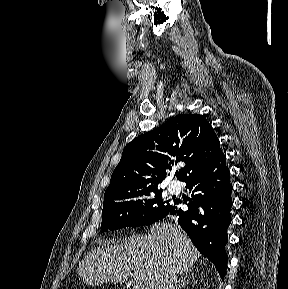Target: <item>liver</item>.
I'll use <instances>...</instances> for the list:
<instances>
[{
  "label": "liver",
  "mask_w": 288,
  "mask_h": 289,
  "mask_svg": "<svg viewBox=\"0 0 288 289\" xmlns=\"http://www.w3.org/2000/svg\"><path fill=\"white\" fill-rule=\"evenodd\" d=\"M200 257L182 229L171 223H157L146 236H134L118 242L99 241L77 269L90 286L114 282L123 284L130 276L140 289H160L171 270L184 274Z\"/></svg>",
  "instance_id": "1"
}]
</instances>
